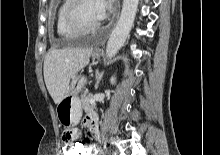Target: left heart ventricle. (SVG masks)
<instances>
[{
  "instance_id": "obj_1",
  "label": "left heart ventricle",
  "mask_w": 220,
  "mask_h": 155,
  "mask_svg": "<svg viewBox=\"0 0 220 155\" xmlns=\"http://www.w3.org/2000/svg\"><path fill=\"white\" fill-rule=\"evenodd\" d=\"M78 16L88 25L101 22L94 0H83L78 9Z\"/></svg>"
}]
</instances>
